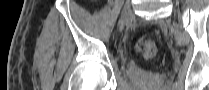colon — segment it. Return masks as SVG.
<instances>
[{
  "instance_id": "1",
  "label": "colon",
  "mask_w": 209,
  "mask_h": 90,
  "mask_svg": "<svg viewBox=\"0 0 209 90\" xmlns=\"http://www.w3.org/2000/svg\"><path fill=\"white\" fill-rule=\"evenodd\" d=\"M137 51L144 59L151 60L157 54V45L147 36L140 37L136 42Z\"/></svg>"
}]
</instances>
